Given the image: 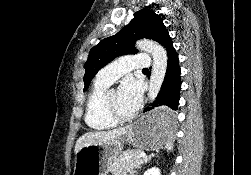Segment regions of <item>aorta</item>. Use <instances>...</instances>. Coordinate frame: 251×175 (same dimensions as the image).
Here are the masks:
<instances>
[{
  "mask_svg": "<svg viewBox=\"0 0 251 175\" xmlns=\"http://www.w3.org/2000/svg\"><path fill=\"white\" fill-rule=\"evenodd\" d=\"M136 48L142 50V52H148V54L153 56L152 72L147 95L150 101H154L166 76L168 64L167 52L160 44L151 42V40H139L136 44Z\"/></svg>",
  "mask_w": 251,
  "mask_h": 175,
  "instance_id": "762f6f07",
  "label": "aorta"
}]
</instances>
